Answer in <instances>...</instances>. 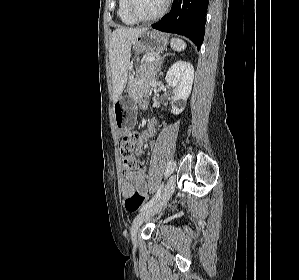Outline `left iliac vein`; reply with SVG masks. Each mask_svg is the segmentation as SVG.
I'll return each instance as SVG.
<instances>
[{
	"instance_id": "1",
	"label": "left iliac vein",
	"mask_w": 299,
	"mask_h": 280,
	"mask_svg": "<svg viewBox=\"0 0 299 280\" xmlns=\"http://www.w3.org/2000/svg\"><path fill=\"white\" fill-rule=\"evenodd\" d=\"M175 184H176V176L171 175L170 178L168 179L165 188L163 190V193L159 200L152 205L151 207L143 210L141 213H139L133 223H132V228H131V238L133 241L134 246L137 245V233L138 229L141 226V224L154 216L156 213H158L168 202L170 199L172 193L174 192L175 189Z\"/></svg>"
}]
</instances>
